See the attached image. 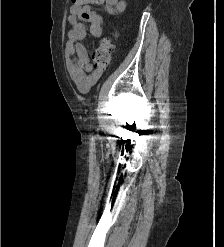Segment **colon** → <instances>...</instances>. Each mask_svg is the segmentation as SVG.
<instances>
[{"label":"colon","instance_id":"5ec220e1","mask_svg":"<svg viewBox=\"0 0 224 247\" xmlns=\"http://www.w3.org/2000/svg\"><path fill=\"white\" fill-rule=\"evenodd\" d=\"M73 5H81L82 0H71ZM112 55V43L108 39L101 41L92 55V68L94 70H104L110 63Z\"/></svg>","mask_w":224,"mask_h":247}]
</instances>
